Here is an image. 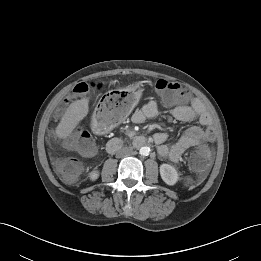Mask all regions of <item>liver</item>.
<instances>
[{
  "label": "liver",
  "instance_id": "obj_1",
  "mask_svg": "<svg viewBox=\"0 0 261 261\" xmlns=\"http://www.w3.org/2000/svg\"><path fill=\"white\" fill-rule=\"evenodd\" d=\"M88 103L89 98H83L70 104L55 130L59 139L67 138L79 122L86 117L89 111Z\"/></svg>",
  "mask_w": 261,
  "mask_h": 261
}]
</instances>
